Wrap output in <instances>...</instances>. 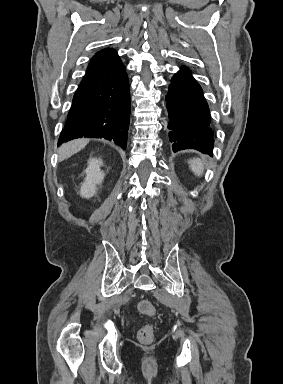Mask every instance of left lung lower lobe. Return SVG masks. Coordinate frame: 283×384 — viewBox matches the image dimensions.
<instances>
[{"label": "left lung lower lobe", "mask_w": 283, "mask_h": 384, "mask_svg": "<svg viewBox=\"0 0 283 384\" xmlns=\"http://www.w3.org/2000/svg\"><path fill=\"white\" fill-rule=\"evenodd\" d=\"M166 102L173 151L195 149L212 156L214 139L209 107L201 86L187 68L182 67L171 79Z\"/></svg>", "instance_id": "1"}]
</instances>
